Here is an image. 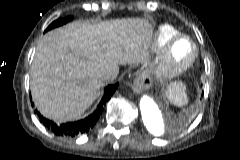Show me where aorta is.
<instances>
[{"mask_svg": "<svg viewBox=\"0 0 240 160\" xmlns=\"http://www.w3.org/2000/svg\"><path fill=\"white\" fill-rule=\"evenodd\" d=\"M140 112L142 121L150 133L158 135L163 132L164 121L162 112L152 98L148 96L141 98Z\"/></svg>", "mask_w": 240, "mask_h": 160, "instance_id": "obj_1", "label": "aorta"}]
</instances>
